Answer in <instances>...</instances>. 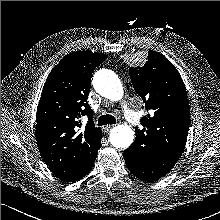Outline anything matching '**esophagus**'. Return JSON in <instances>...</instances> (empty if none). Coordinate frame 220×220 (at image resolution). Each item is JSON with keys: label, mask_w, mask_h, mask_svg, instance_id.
Segmentation results:
<instances>
[{"label": "esophagus", "mask_w": 220, "mask_h": 220, "mask_svg": "<svg viewBox=\"0 0 220 220\" xmlns=\"http://www.w3.org/2000/svg\"><path fill=\"white\" fill-rule=\"evenodd\" d=\"M113 127V125L107 126L106 128H104V132H109Z\"/></svg>", "instance_id": "1"}]
</instances>
